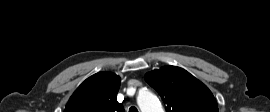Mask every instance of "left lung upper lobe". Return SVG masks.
<instances>
[{"label": "left lung upper lobe", "mask_w": 270, "mask_h": 112, "mask_svg": "<svg viewBox=\"0 0 270 112\" xmlns=\"http://www.w3.org/2000/svg\"><path fill=\"white\" fill-rule=\"evenodd\" d=\"M146 81L166 103V112H218L211 91L180 67L164 66L151 71Z\"/></svg>", "instance_id": "left-lung-upper-lobe-1"}]
</instances>
